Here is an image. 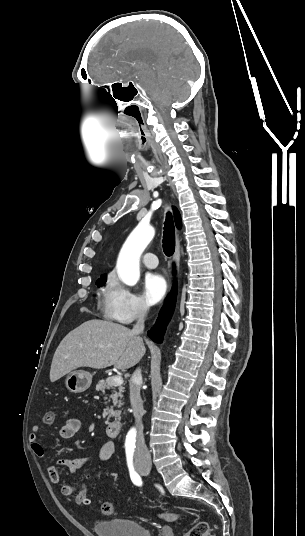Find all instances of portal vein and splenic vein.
Listing matches in <instances>:
<instances>
[{
	"mask_svg": "<svg viewBox=\"0 0 305 536\" xmlns=\"http://www.w3.org/2000/svg\"><path fill=\"white\" fill-rule=\"evenodd\" d=\"M112 382L113 384H116V386H121V384H123V378H121V376H113Z\"/></svg>",
	"mask_w": 305,
	"mask_h": 536,
	"instance_id": "18ae733b",
	"label": "portal vein and splenic vein"
}]
</instances>
